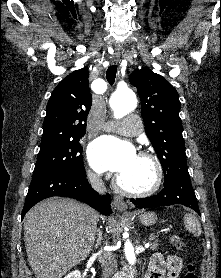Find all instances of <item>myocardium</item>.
<instances>
[{
    "mask_svg": "<svg viewBox=\"0 0 221 278\" xmlns=\"http://www.w3.org/2000/svg\"><path fill=\"white\" fill-rule=\"evenodd\" d=\"M138 156L144 157L149 159L155 168V180L149 188L145 190H132L126 188L120 181L119 177L117 176L114 181V187L122 194L126 196H134V197H148L154 195L162 186L163 179H164V170L159 158L151 152L141 150L137 153Z\"/></svg>",
    "mask_w": 221,
    "mask_h": 278,
    "instance_id": "myocardium-1",
    "label": "myocardium"
}]
</instances>
